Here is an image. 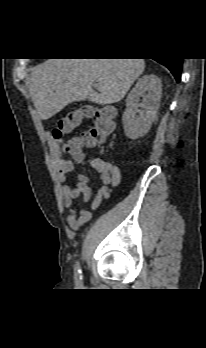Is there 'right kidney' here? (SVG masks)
Instances as JSON below:
<instances>
[{
	"mask_svg": "<svg viewBox=\"0 0 206 348\" xmlns=\"http://www.w3.org/2000/svg\"><path fill=\"white\" fill-rule=\"evenodd\" d=\"M161 95L162 83L156 75L147 74L138 79L126 98V110L122 117L124 132L128 138L137 139L149 131L157 117ZM139 106H143L144 110H139Z\"/></svg>",
	"mask_w": 206,
	"mask_h": 348,
	"instance_id": "ca27d5eb",
	"label": "right kidney"
}]
</instances>
